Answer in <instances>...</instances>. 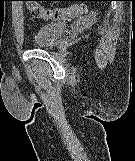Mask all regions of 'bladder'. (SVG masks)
Returning <instances> with one entry per match:
<instances>
[{"label": "bladder", "mask_w": 135, "mask_h": 161, "mask_svg": "<svg viewBox=\"0 0 135 161\" xmlns=\"http://www.w3.org/2000/svg\"><path fill=\"white\" fill-rule=\"evenodd\" d=\"M65 33V25L57 22L45 23L34 33L31 44L38 48L55 45Z\"/></svg>", "instance_id": "bladder-1"}]
</instances>
